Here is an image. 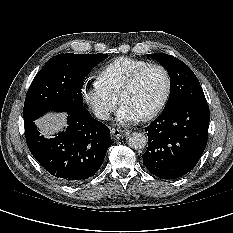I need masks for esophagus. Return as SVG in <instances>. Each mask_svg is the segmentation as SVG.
Here are the masks:
<instances>
[{
	"label": "esophagus",
	"instance_id": "esophagus-1",
	"mask_svg": "<svg viewBox=\"0 0 233 233\" xmlns=\"http://www.w3.org/2000/svg\"><path fill=\"white\" fill-rule=\"evenodd\" d=\"M127 134V132L123 131V130H120V129H115V128H112L111 129V135L114 137V138H123L125 135Z\"/></svg>",
	"mask_w": 233,
	"mask_h": 233
}]
</instances>
